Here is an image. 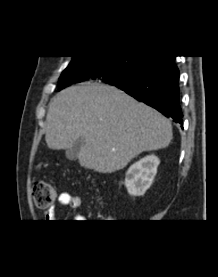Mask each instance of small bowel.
<instances>
[{
  "mask_svg": "<svg viewBox=\"0 0 218 277\" xmlns=\"http://www.w3.org/2000/svg\"><path fill=\"white\" fill-rule=\"evenodd\" d=\"M58 204L61 207H70L72 209H76L81 204V197L78 195H73L68 191H63L58 196ZM58 217V212L56 206H51L45 211V219L47 222H54ZM75 219H82L83 217L77 215L74 217Z\"/></svg>",
  "mask_w": 218,
  "mask_h": 277,
  "instance_id": "1",
  "label": "small bowel"
}]
</instances>
